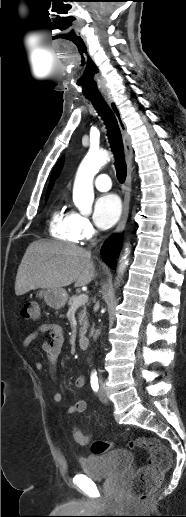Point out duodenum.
I'll return each mask as SVG.
<instances>
[{
	"label": "duodenum",
	"instance_id": "410a0bca",
	"mask_svg": "<svg viewBox=\"0 0 186 517\" xmlns=\"http://www.w3.org/2000/svg\"><path fill=\"white\" fill-rule=\"evenodd\" d=\"M78 344H79V347L83 350H86L89 348L90 346V339L88 336L86 335H81L79 336L78 338Z\"/></svg>",
	"mask_w": 186,
	"mask_h": 517
}]
</instances>
